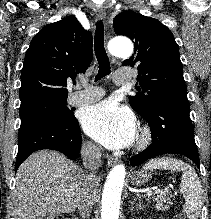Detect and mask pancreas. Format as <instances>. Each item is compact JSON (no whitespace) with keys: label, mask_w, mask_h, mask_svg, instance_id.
<instances>
[{"label":"pancreas","mask_w":211,"mask_h":219,"mask_svg":"<svg viewBox=\"0 0 211 219\" xmlns=\"http://www.w3.org/2000/svg\"><path fill=\"white\" fill-rule=\"evenodd\" d=\"M154 201L156 202V209L157 210H168L169 204H172L171 199L168 197V193H160L156 197H153Z\"/></svg>","instance_id":"pancreas-1"}]
</instances>
